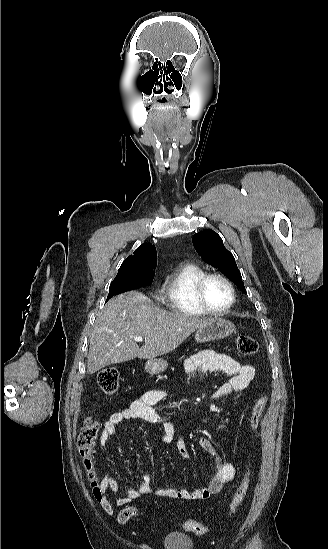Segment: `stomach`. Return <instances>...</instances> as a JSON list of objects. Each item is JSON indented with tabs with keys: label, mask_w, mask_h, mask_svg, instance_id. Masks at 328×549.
Instances as JSON below:
<instances>
[{
	"label": "stomach",
	"mask_w": 328,
	"mask_h": 549,
	"mask_svg": "<svg viewBox=\"0 0 328 549\" xmlns=\"http://www.w3.org/2000/svg\"><path fill=\"white\" fill-rule=\"evenodd\" d=\"M236 333L235 325L227 319L222 317H216V319H209L206 325L199 327L195 333V341L197 343H208V341H216V339H225L229 335ZM168 363L164 359H149L145 363L146 373L150 375H159L167 369Z\"/></svg>",
	"instance_id": "stomach-1"
}]
</instances>
